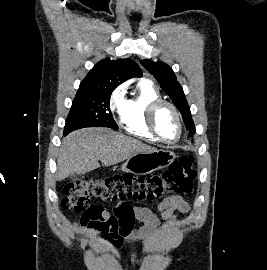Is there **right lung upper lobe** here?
I'll list each match as a JSON object with an SVG mask.
<instances>
[{
	"label": "right lung upper lobe",
	"instance_id": "right-lung-upper-lobe-1",
	"mask_svg": "<svg viewBox=\"0 0 267 270\" xmlns=\"http://www.w3.org/2000/svg\"><path fill=\"white\" fill-rule=\"evenodd\" d=\"M142 75L139 66L131 59L102 60L81 82L79 89L116 88L134 76Z\"/></svg>",
	"mask_w": 267,
	"mask_h": 270
}]
</instances>
